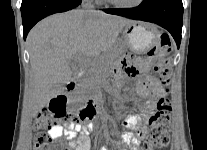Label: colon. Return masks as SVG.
I'll use <instances>...</instances> for the list:
<instances>
[{
  "instance_id": "5ec220e1",
  "label": "colon",
  "mask_w": 207,
  "mask_h": 150,
  "mask_svg": "<svg viewBox=\"0 0 207 150\" xmlns=\"http://www.w3.org/2000/svg\"><path fill=\"white\" fill-rule=\"evenodd\" d=\"M172 46L170 38L162 35L159 42L153 47L148 55L155 61V71L159 76L160 83L166 87L170 82L172 66L167 58ZM49 108L43 109L35 117L34 121V150H68L59 143L57 139L49 135V131L58 127L61 122L69 117L92 118L93 113L84 114L81 111L69 113L66 109L68 100L58 98L49 100ZM172 107L167 98H161L156 104V108L149 119V129L142 134L146 150L150 148H161L169 143L170 119Z\"/></svg>"
}]
</instances>
